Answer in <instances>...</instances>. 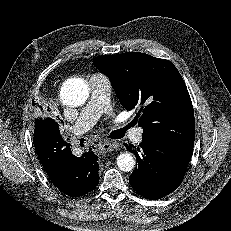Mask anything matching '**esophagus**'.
Masks as SVG:
<instances>
[{"label":"esophagus","instance_id":"obj_1","mask_svg":"<svg viewBox=\"0 0 231 231\" xmlns=\"http://www.w3.org/2000/svg\"><path fill=\"white\" fill-rule=\"evenodd\" d=\"M117 145L113 141H103L100 143V149L102 152L107 153L116 149Z\"/></svg>","mask_w":231,"mask_h":231}]
</instances>
